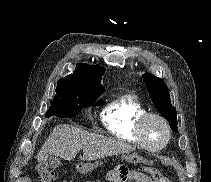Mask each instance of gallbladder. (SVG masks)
I'll list each match as a JSON object with an SVG mask.
<instances>
[{
	"label": "gallbladder",
	"instance_id": "bac80fb5",
	"mask_svg": "<svg viewBox=\"0 0 211 182\" xmlns=\"http://www.w3.org/2000/svg\"><path fill=\"white\" fill-rule=\"evenodd\" d=\"M48 163L51 167L56 168L60 165V160L58 157L56 156H50L48 158Z\"/></svg>",
	"mask_w": 211,
	"mask_h": 182
}]
</instances>
